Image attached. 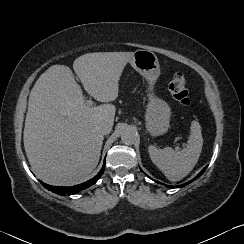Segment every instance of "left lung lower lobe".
<instances>
[{
    "label": "left lung lower lobe",
    "instance_id": "0a47b994",
    "mask_svg": "<svg viewBox=\"0 0 244 244\" xmlns=\"http://www.w3.org/2000/svg\"><path fill=\"white\" fill-rule=\"evenodd\" d=\"M205 169H206V167L196 176V178L195 179H197V178H199L202 174H203V172L205 171ZM141 170V169H140ZM142 171V170H141ZM194 179V180H195ZM193 181V180H192ZM191 181H189V182H187V183H185L184 185H187V184H189ZM184 185H181L180 187H182V186H184ZM167 187H170V188H174V186H167Z\"/></svg>",
    "mask_w": 244,
    "mask_h": 244
}]
</instances>
